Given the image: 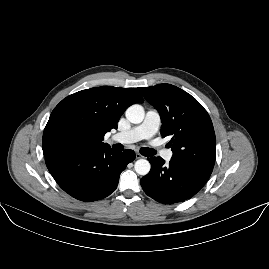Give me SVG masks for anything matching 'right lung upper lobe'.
I'll list each match as a JSON object with an SVG mask.
<instances>
[{
    "mask_svg": "<svg viewBox=\"0 0 269 269\" xmlns=\"http://www.w3.org/2000/svg\"><path fill=\"white\" fill-rule=\"evenodd\" d=\"M144 100L134 88L102 86L74 93L52 111L44 129V156L66 152L81 146H109L104 135L117 129L125 110Z\"/></svg>",
    "mask_w": 269,
    "mask_h": 269,
    "instance_id": "obj_1",
    "label": "right lung upper lobe"
}]
</instances>
